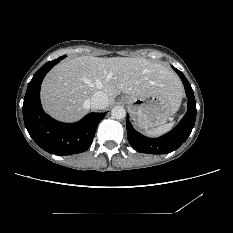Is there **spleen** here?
<instances>
[{
  "mask_svg": "<svg viewBox=\"0 0 233 233\" xmlns=\"http://www.w3.org/2000/svg\"><path fill=\"white\" fill-rule=\"evenodd\" d=\"M174 124H175V122H170L168 124L159 126L155 129H150V130L146 129L145 133L149 136H159V135H162V134L170 131L173 128Z\"/></svg>",
  "mask_w": 233,
  "mask_h": 233,
  "instance_id": "1",
  "label": "spleen"
}]
</instances>
